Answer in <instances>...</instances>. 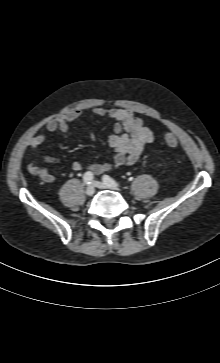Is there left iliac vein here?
<instances>
[{"instance_id": "4c4485c4", "label": "left iliac vein", "mask_w": 220, "mask_h": 363, "mask_svg": "<svg viewBox=\"0 0 220 363\" xmlns=\"http://www.w3.org/2000/svg\"><path fill=\"white\" fill-rule=\"evenodd\" d=\"M93 185L99 189H117L118 186H109L103 182L94 181Z\"/></svg>"}]
</instances>
